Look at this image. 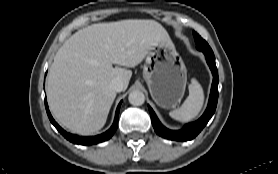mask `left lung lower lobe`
<instances>
[{"label":"left lung lower lobe","mask_w":278,"mask_h":174,"mask_svg":"<svg viewBox=\"0 0 278 174\" xmlns=\"http://www.w3.org/2000/svg\"><path fill=\"white\" fill-rule=\"evenodd\" d=\"M204 54L213 75L211 93L206 111L197 121L186 124L181 130L173 131L165 128L158 120L152 108L148 106L154 130L161 137L175 141L192 140L201 132L213 116L218 101V71L215 64L214 54Z\"/></svg>","instance_id":"obj_1"}]
</instances>
